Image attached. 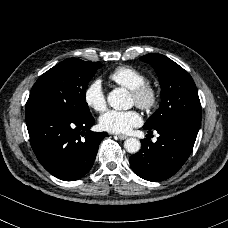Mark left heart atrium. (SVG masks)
Returning <instances> with one entry per match:
<instances>
[{"mask_svg":"<svg viewBox=\"0 0 228 228\" xmlns=\"http://www.w3.org/2000/svg\"><path fill=\"white\" fill-rule=\"evenodd\" d=\"M141 116L135 110H109L101 115L99 124L105 131L114 134H123L131 130V128L140 125Z\"/></svg>","mask_w":228,"mask_h":228,"instance_id":"left-heart-atrium-1","label":"left heart atrium"}]
</instances>
